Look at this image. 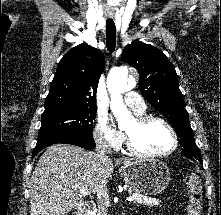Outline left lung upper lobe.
<instances>
[{
    "label": "left lung upper lobe",
    "instance_id": "1",
    "mask_svg": "<svg viewBox=\"0 0 221 215\" xmlns=\"http://www.w3.org/2000/svg\"><path fill=\"white\" fill-rule=\"evenodd\" d=\"M140 74L139 88L146 100L173 125L186 157L202 159L195 143L176 71L159 49L133 41L121 55Z\"/></svg>",
    "mask_w": 221,
    "mask_h": 215
}]
</instances>
